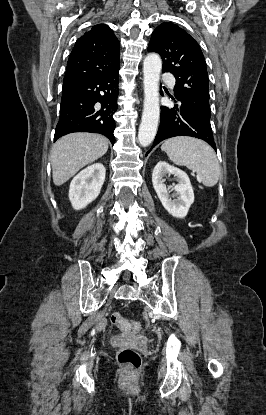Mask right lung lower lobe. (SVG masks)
<instances>
[{
    "instance_id": "1",
    "label": "right lung lower lobe",
    "mask_w": 266,
    "mask_h": 415,
    "mask_svg": "<svg viewBox=\"0 0 266 415\" xmlns=\"http://www.w3.org/2000/svg\"><path fill=\"white\" fill-rule=\"evenodd\" d=\"M119 68L112 73L62 88L59 122L54 141L73 132L100 133L115 143Z\"/></svg>"
}]
</instances>
